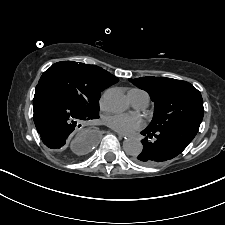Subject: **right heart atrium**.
<instances>
[{"label": "right heart atrium", "mask_w": 225, "mask_h": 225, "mask_svg": "<svg viewBox=\"0 0 225 225\" xmlns=\"http://www.w3.org/2000/svg\"><path fill=\"white\" fill-rule=\"evenodd\" d=\"M100 106H101V107L104 106V97H102L101 100H100Z\"/></svg>", "instance_id": "obj_1"}]
</instances>
